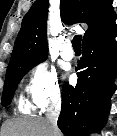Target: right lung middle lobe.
Returning <instances> with one entry per match:
<instances>
[{"mask_svg": "<svg viewBox=\"0 0 117 136\" xmlns=\"http://www.w3.org/2000/svg\"><path fill=\"white\" fill-rule=\"evenodd\" d=\"M46 58L47 57L22 60L8 66L1 100L2 106L6 107L11 103L14 92L23 76L29 72L31 68L45 61Z\"/></svg>", "mask_w": 117, "mask_h": 136, "instance_id": "1", "label": "right lung middle lobe"}]
</instances>
